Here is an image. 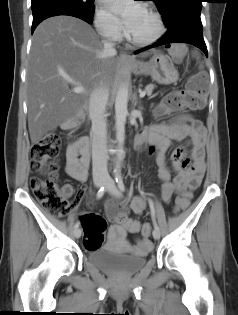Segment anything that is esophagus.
<instances>
[{
    "label": "esophagus",
    "instance_id": "esophagus-1",
    "mask_svg": "<svg viewBox=\"0 0 238 315\" xmlns=\"http://www.w3.org/2000/svg\"><path fill=\"white\" fill-rule=\"evenodd\" d=\"M119 59L121 61H125V62H131L132 61L131 57L129 55L125 54V53H121L119 55Z\"/></svg>",
    "mask_w": 238,
    "mask_h": 315
}]
</instances>
